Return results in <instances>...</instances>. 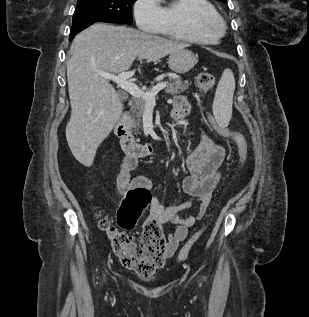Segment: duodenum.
Here are the masks:
<instances>
[{
    "instance_id": "duodenum-1",
    "label": "duodenum",
    "mask_w": 309,
    "mask_h": 317,
    "mask_svg": "<svg viewBox=\"0 0 309 317\" xmlns=\"http://www.w3.org/2000/svg\"><path fill=\"white\" fill-rule=\"evenodd\" d=\"M130 114L124 112L115 125V134L119 138L122 150L127 156L134 158L146 157L152 154L154 146L152 142L137 143L129 128Z\"/></svg>"
}]
</instances>
